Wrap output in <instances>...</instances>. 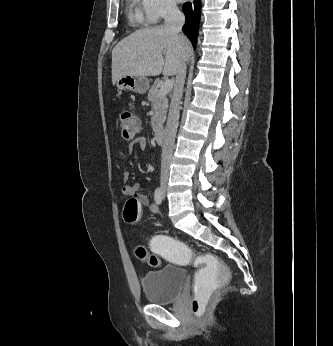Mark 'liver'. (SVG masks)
<instances>
[{"instance_id":"6515ba94","label":"liver","mask_w":333,"mask_h":346,"mask_svg":"<svg viewBox=\"0 0 333 346\" xmlns=\"http://www.w3.org/2000/svg\"><path fill=\"white\" fill-rule=\"evenodd\" d=\"M184 37V36H183ZM166 26L140 29L121 40L112 50V83L125 75L164 76L177 74L182 60L192 53L190 42Z\"/></svg>"}]
</instances>
